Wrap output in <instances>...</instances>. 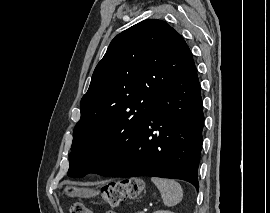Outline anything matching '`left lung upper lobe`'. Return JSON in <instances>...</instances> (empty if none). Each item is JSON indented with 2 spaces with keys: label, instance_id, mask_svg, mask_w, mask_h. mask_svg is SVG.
<instances>
[{
  "label": "left lung upper lobe",
  "instance_id": "obj_1",
  "mask_svg": "<svg viewBox=\"0 0 270 213\" xmlns=\"http://www.w3.org/2000/svg\"><path fill=\"white\" fill-rule=\"evenodd\" d=\"M193 64L188 45L165 21L144 20L118 34L81 99L68 175L90 173L109 148L124 143L177 75Z\"/></svg>",
  "mask_w": 270,
  "mask_h": 213
}]
</instances>
